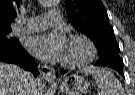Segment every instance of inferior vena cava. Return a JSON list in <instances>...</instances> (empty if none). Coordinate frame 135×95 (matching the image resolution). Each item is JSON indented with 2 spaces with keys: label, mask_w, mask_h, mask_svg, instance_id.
<instances>
[{
  "label": "inferior vena cava",
  "mask_w": 135,
  "mask_h": 95,
  "mask_svg": "<svg viewBox=\"0 0 135 95\" xmlns=\"http://www.w3.org/2000/svg\"><path fill=\"white\" fill-rule=\"evenodd\" d=\"M32 79H33V77L31 75H29L28 76V81H27L26 86H25L24 95H32V91H31Z\"/></svg>",
  "instance_id": "inferior-vena-cava-1"
}]
</instances>
